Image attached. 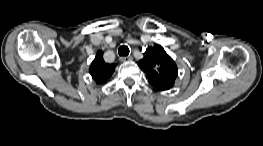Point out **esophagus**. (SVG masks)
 <instances>
[{"mask_svg":"<svg viewBox=\"0 0 263 146\" xmlns=\"http://www.w3.org/2000/svg\"><path fill=\"white\" fill-rule=\"evenodd\" d=\"M128 60H132V57L131 56H122V57H120V61H122V62H125V61H128Z\"/></svg>","mask_w":263,"mask_h":146,"instance_id":"esophagus-1","label":"esophagus"}]
</instances>
